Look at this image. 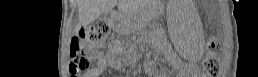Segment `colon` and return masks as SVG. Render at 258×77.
<instances>
[{
  "label": "colon",
  "mask_w": 258,
  "mask_h": 77,
  "mask_svg": "<svg viewBox=\"0 0 258 77\" xmlns=\"http://www.w3.org/2000/svg\"><path fill=\"white\" fill-rule=\"evenodd\" d=\"M108 27L102 21H94L90 25L82 28L72 41L73 62L70 66L72 74H78L89 67L87 57L82 53L83 48L96 49L106 45ZM220 50L219 43L215 39H210L207 45V53L203 60L204 69L211 74L219 71L217 59Z\"/></svg>",
  "instance_id": "1"
}]
</instances>
